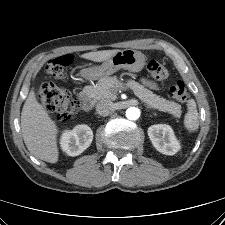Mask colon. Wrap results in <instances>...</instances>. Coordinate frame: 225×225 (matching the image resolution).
Masks as SVG:
<instances>
[{"instance_id": "5ec220e1", "label": "colon", "mask_w": 225, "mask_h": 225, "mask_svg": "<svg viewBox=\"0 0 225 225\" xmlns=\"http://www.w3.org/2000/svg\"><path fill=\"white\" fill-rule=\"evenodd\" d=\"M72 56L65 54L53 58L46 65L47 73L54 78H66L64 69L72 63ZM147 71L158 80H165L169 76L168 70L156 60H149ZM170 95L179 102H186L190 92L183 81H177L170 87ZM38 99L44 109L55 113L62 120L70 119L76 112L79 102L71 97L70 92L54 83H44L38 90Z\"/></svg>"}]
</instances>
